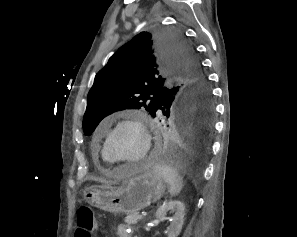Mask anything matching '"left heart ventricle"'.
<instances>
[{"label": "left heart ventricle", "instance_id": "1", "mask_svg": "<svg viewBox=\"0 0 297 237\" xmlns=\"http://www.w3.org/2000/svg\"><path fill=\"white\" fill-rule=\"evenodd\" d=\"M143 147V138L139 130L125 125L115 132L109 142V152L121 159L137 157Z\"/></svg>", "mask_w": 297, "mask_h": 237}]
</instances>
